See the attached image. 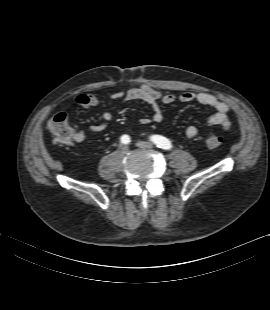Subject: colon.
Wrapping results in <instances>:
<instances>
[{"label": "colon", "mask_w": 270, "mask_h": 310, "mask_svg": "<svg viewBox=\"0 0 270 310\" xmlns=\"http://www.w3.org/2000/svg\"><path fill=\"white\" fill-rule=\"evenodd\" d=\"M48 129L55 141L66 145L75 144L80 136L79 132L70 126L68 115L65 112L55 114L48 122ZM204 143L206 147L215 149L222 144V139L217 135H209L205 138Z\"/></svg>", "instance_id": "1"}]
</instances>
